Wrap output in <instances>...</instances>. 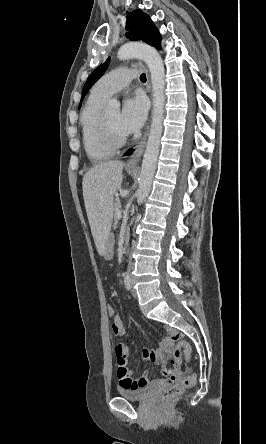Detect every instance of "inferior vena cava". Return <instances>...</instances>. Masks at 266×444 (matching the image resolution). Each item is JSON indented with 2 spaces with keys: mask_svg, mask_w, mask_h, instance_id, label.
I'll return each instance as SVG.
<instances>
[{
  "mask_svg": "<svg viewBox=\"0 0 266 444\" xmlns=\"http://www.w3.org/2000/svg\"><path fill=\"white\" fill-rule=\"evenodd\" d=\"M131 266H132V262H131V259H130V261H129V269L131 268Z\"/></svg>",
  "mask_w": 266,
  "mask_h": 444,
  "instance_id": "602c4592",
  "label": "inferior vena cava"
}]
</instances>
